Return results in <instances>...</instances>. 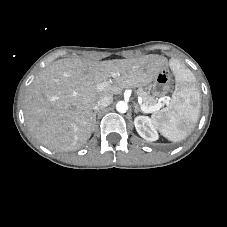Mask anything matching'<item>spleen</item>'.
<instances>
[{"label": "spleen", "instance_id": "3e777b00", "mask_svg": "<svg viewBox=\"0 0 227 227\" xmlns=\"http://www.w3.org/2000/svg\"><path fill=\"white\" fill-rule=\"evenodd\" d=\"M170 66L175 73L177 85L171 105L167 110L152 116L154 125L162 136L170 141L185 139L193 130L200 113V92L195 86V77L178 60Z\"/></svg>", "mask_w": 227, "mask_h": 227}]
</instances>
